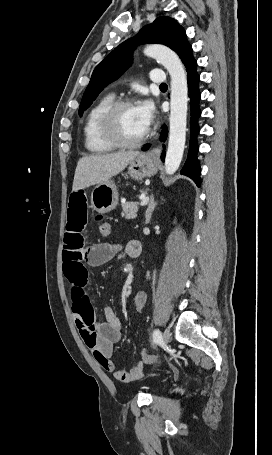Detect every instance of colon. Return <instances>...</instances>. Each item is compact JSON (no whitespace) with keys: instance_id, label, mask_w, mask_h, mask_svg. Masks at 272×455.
Segmentation results:
<instances>
[{"instance_id":"5ec220e1","label":"colon","mask_w":272,"mask_h":455,"mask_svg":"<svg viewBox=\"0 0 272 455\" xmlns=\"http://www.w3.org/2000/svg\"><path fill=\"white\" fill-rule=\"evenodd\" d=\"M96 221L98 222L99 232L103 237H108L111 233V225L106 221L101 215L96 216ZM140 357L143 362L151 363L154 361V355L147 350L140 351Z\"/></svg>"}]
</instances>
